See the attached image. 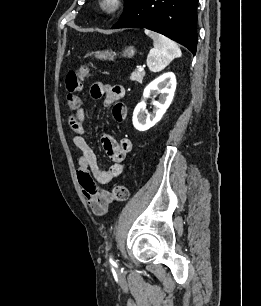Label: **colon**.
<instances>
[{"label":"colon","instance_id":"obj_1","mask_svg":"<svg viewBox=\"0 0 261 306\" xmlns=\"http://www.w3.org/2000/svg\"><path fill=\"white\" fill-rule=\"evenodd\" d=\"M88 65H82L76 71H70L65 78L67 93L64 97L65 105L69 110H76L80 104V92L83 87V81L89 75ZM129 197V189L126 185H118L112 191V198L116 202H124Z\"/></svg>","mask_w":261,"mask_h":306}]
</instances>
